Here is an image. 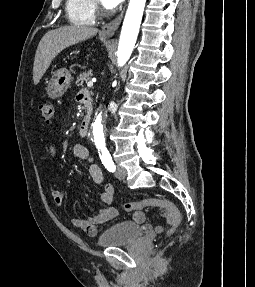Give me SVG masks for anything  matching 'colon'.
<instances>
[{
  "mask_svg": "<svg viewBox=\"0 0 255 287\" xmlns=\"http://www.w3.org/2000/svg\"><path fill=\"white\" fill-rule=\"evenodd\" d=\"M39 114L45 124H50L54 117V108L48 103L41 104L39 106ZM151 206L161 207L168 212L171 226L170 230L168 231V235H172L180 227L182 217L180 211L170 201L165 199L149 198L137 202H128L124 205V210L129 212Z\"/></svg>",
  "mask_w": 255,
  "mask_h": 287,
  "instance_id": "colon-1",
  "label": "colon"
}]
</instances>
